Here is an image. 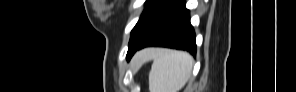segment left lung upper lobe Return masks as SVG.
Returning <instances> with one entry per match:
<instances>
[{
    "label": "left lung upper lobe",
    "mask_w": 296,
    "mask_h": 92,
    "mask_svg": "<svg viewBox=\"0 0 296 92\" xmlns=\"http://www.w3.org/2000/svg\"><path fill=\"white\" fill-rule=\"evenodd\" d=\"M170 0H147L145 10L131 32L128 50L138 44L151 30Z\"/></svg>",
    "instance_id": "1"
}]
</instances>
